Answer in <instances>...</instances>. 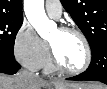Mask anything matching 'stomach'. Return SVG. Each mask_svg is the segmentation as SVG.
<instances>
[{
  "label": "stomach",
  "mask_w": 107,
  "mask_h": 89,
  "mask_svg": "<svg viewBox=\"0 0 107 89\" xmlns=\"http://www.w3.org/2000/svg\"><path fill=\"white\" fill-rule=\"evenodd\" d=\"M52 89H82L81 86H69V85H63V86H60V87H57V86H53Z\"/></svg>",
  "instance_id": "obj_1"
}]
</instances>
